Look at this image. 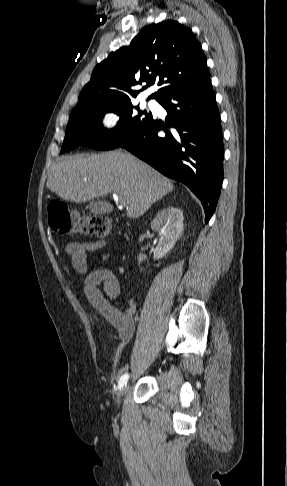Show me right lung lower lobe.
I'll return each mask as SVG.
<instances>
[{"label": "right lung lower lobe", "mask_w": 287, "mask_h": 486, "mask_svg": "<svg viewBox=\"0 0 287 486\" xmlns=\"http://www.w3.org/2000/svg\"><path fill=\"white\" fill-rule=\"evenodd\" d=\"M158 102L166 125L151 117L122 147L162 174L187 185L201 200L207 223L223 181L222 128L211 80L170 93ZM163 130L165 135H158Z\"/></svg>", "instance_id": "right-lung-lower-lobe-1"}]
</instances>
